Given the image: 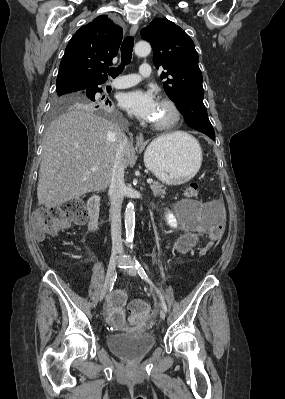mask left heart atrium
<instances>
[{"instance_id": "obj_1", "label": "left heart atrium", "mask_w": 285, "mask_h": 399, "mask_svg": "<svg viewBox=\"0 0 285 399\" xmlns=\"http://www.w3.org/2000/svg\"><path fill=\"white\" fill-rule=\"evenodd\" d=\"M119 103L123 109L143 121H153L158 109V102L153 93L142 89L123 93Z\"/></svg>"}]
</instances>
